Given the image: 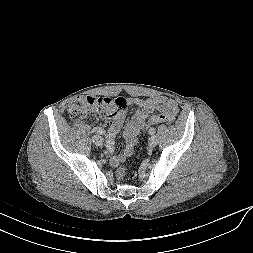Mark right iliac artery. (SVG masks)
I'll return each instance as SVG.
<instances>
[{
  "mask_svg": "<svg viewBox=\"0 0 253 253\" xmlns=\"http://www.w3.org/2000/svg\"><path fill=\"white\" fill-rule=\"evenodd\" d=\"M96 132L99 133V134H101V135H102V134H105V130L100 129V128H99V129H96Z\"/></svg>",
  "mask_w": 253,
  "mask_h": 253,
  "instance_id": "obj_1",
  "label": "right iliac artery"
}]
</instances>
